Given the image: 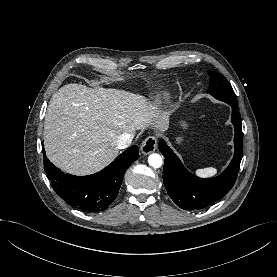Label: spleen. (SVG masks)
Instances as JSON below:
<instances>
[{"instance_id":"obj_1","label":"spleen","mask_w":277,"mask_h":277,"mask_svg":"<svg viewBox=\"0 0 277 277\" xmlns=\"http://www.w3.org/2000/svg\"><path fill=\"white\" fill-rule=\"evenodd\" d=\"M195 173L199 177L209 178V177H213L214 175L217 174V169L208 167V168H204V169H198V170H196Z\"/></svg>"}]
</instances>
